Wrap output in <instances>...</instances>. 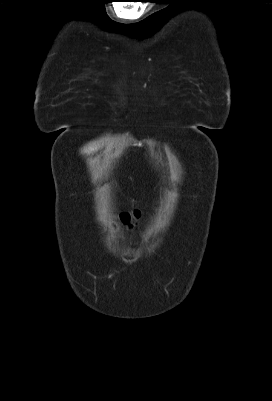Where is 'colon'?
Segmentation results:
<instances>
[{
	"label": "colon",
	"instance_id": "5ec220e1",
	"mask_svg": "<svg viewBox=\"0 0 272 401\" xmlns=\"http://www.w3.org/2000/svg\"><path fill=\"white\" fill-rule=\"evenodd\" d=\"M139 216L138 212H133V213H124L121 215L120 217V221L123 224H130L132 221H134L135 219H137Z\"/></svg>",
	"mask_w": 272,
	"mask_h": 401
}]
</instances>
